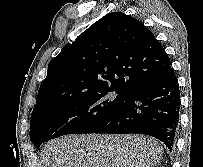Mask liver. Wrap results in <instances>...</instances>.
I'll return each instance as SVG.
<instances>
[{
  "mask_svg": "<svg viewBox=\"0 0 203 167\" xmlns=\"http://www.w3.org/2000/svg\"><path fill=\"white\" fill-rule=\"evenodd\" d=\"M163 147L143 135H67L48 142L38 167H153Z\"/></svg>",
  "mask_w": 203,
  "mask_h": 167,
  "instance_id": "liver-1",
  "label": "liver"
}]
</instances>
